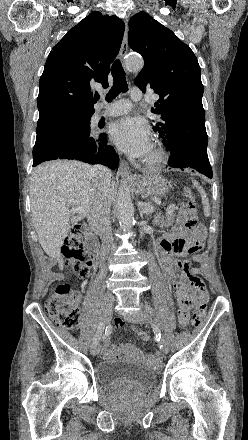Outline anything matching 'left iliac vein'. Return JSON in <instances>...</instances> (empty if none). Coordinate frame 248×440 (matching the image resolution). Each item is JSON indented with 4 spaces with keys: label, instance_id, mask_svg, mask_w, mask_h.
Returning <instances> with one entry per match:
<instances>
[{
    "label": "left iliac vein",
    "instance_id": "left-iliac-vein-1",
    "mask_svg": "<svg viewBox=\"0 0 248 440\" xmlns=\"http://www.w3.org/2000/svg\"><path fill=\"white\" fill-rule=\"evenodd\" d=\"M124 318L129 322L139 323V324L147 323L149 322L150 319L149 314L142 311L124 315ZM162 352L165 354L169 352V344L165 339L163 341Z\"/></svg>",
    "mask_w": 248,
    "mask_h": 440
}]
</instances>
